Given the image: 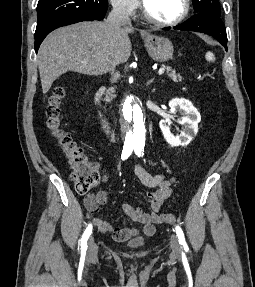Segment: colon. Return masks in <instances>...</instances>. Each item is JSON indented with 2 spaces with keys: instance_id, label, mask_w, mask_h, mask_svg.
I'll return each mask as SVG.
<instances>
[{
  "instance_id": "1",
  "label": "colon",
  "mask_w": 255,
  "mask_h": 287,
  "mask_svg": "<svg viewBox=\"0 0 255 287\" xmlns=\"http://www.w3.org/2000/svg\"><path fill=\"white\" fill-rule=\"evenodd\" d=\"M65 96V89L58 86L49 98L46 108V126L56 139L70 166V178L75 189L80 194H86L99 182V175L89 160L85 150L74 140L72 135L65 131L61 125V102ZM164 222L174 224L177 218L173 214L161 215Z\"/></svg>"
}]
</instances>
